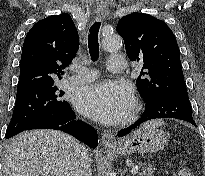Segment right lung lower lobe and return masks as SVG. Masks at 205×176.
I'll list each match as a JSON object with an SVG mask.
<instances>
[{
	"instance_id": "98d812e1",
	"label": "right lung lower lobe",
	"mask_w": 205,
	"mask_h": 176,
	"mask_svg": "<svg viewBox=\"0 0 205 176\" xmlns=\"http://www.w3.org/2000/svg\"><path fill=\"white\" fill-rule=\"evenodd\" d=\"M31 129L61 130L86 143L91 148L98 146V137L95 129L81 120H76V116L70 106L36 121L25 130Z\"/></svg>"
}]
</instances>
